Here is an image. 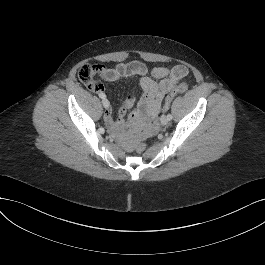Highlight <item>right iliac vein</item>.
I'll list each match as a JSON object with an SVG mask.
<instances>
[{
    "mask_svg": "<svg viewBox=\"0 0 265 265\" xmlns=\"http://www.w3.org/2000/svg\"><path fill=\"white\" fill-rule=\"evenodd\" d=\"M102 104H103L105 109H108L109 106H110V103H109V101L107 99H103L102 100Z\"/></svg>",
    "mask_w": 265,
    "mask_h": 265,
    "instance_id": "obj_1",
    "label": "right iliac vein"
}]
</instances>
